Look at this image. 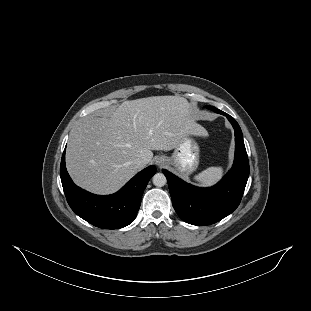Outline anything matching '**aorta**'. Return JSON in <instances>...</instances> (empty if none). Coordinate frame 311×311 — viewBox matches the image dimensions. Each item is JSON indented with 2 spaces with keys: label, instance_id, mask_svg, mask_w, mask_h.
Here are the masks:
<instances>
[{
  "label": "aorta",
  "instance_id": "1",
  "mask_svg": "<svg viewBox=\"0 0 311 311\" xmlns=\"http://www.w3.org/2000/svg\"><path fill=\"white\" fill-rule=\"evenodd\" d=\"M152 182L157 187H163L167 183V179L164 174L157 173L153 176Z\"/></svg>",
  "mask_w": 311,
  "mask_h": 311
}]
</instances>
